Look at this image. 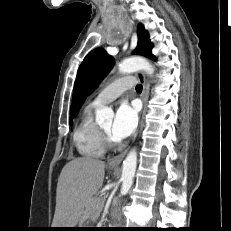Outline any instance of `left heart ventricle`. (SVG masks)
Returning a JSON list of instances; mask_svg holds the SVG:
<instances>
[{
  "label": "left heart ventricle",
  "mask_w": 231,
  "mask_h": 231,
  "mask_svg": "<svg viewBox=\"0 0 231 231\" xmlns=\"http://www.w3.org/2000/svg\"><path fill=\"white\" fill-rule=\"evenodd\" d=\"M101 128L112 138L111 136V128H112V122H108L101 126Z\"/></svg>",
  "instance_id": "b2bd125f"
}]
</instances>
